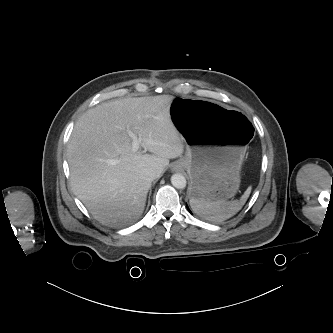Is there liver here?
Returning <instances> with one entry per match:
<instances>
[{
  "label": "liver",
  "mask_w": 333,
  "mask_h": 333,
  "mask_svg": "<svg viewBox=\"0 0 333 333\" xmlns=\"http://www.w3.org/2000/svg\"><path fill=\"white\" fill-rule=\"evenodd\" d=\"M173 99L161 95L104 102L76 122L67 146L71 184L101 223L120 225L139 219L151 187V181L141 179V171L152 169L159 177L169 159L183 154V140L170 116ZM128 130L151 154L132 151Z\"/></svg>",
  "instance_id": "6515ba94"
}]
</instances>
